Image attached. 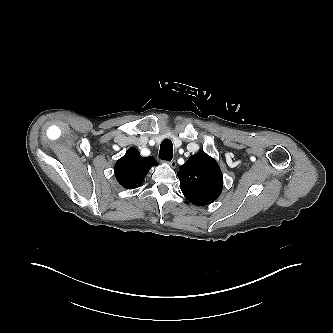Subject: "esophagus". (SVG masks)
Listing matches in <instances>:
<instances>
[{"label":"esophagus","instance_id":"34e87169","mask_svg":"<svg viewBox=\"0 0 333 333\" xmlns=\"http://www.w3.org/2000/svg\"><path fill=\"white\" fill-rule=\"evenodd\" d=\"M168 164H169L172 168H175V167H176V161H175V160L168 161Z\"/></svg>","mask_w":333,"mask_h":333}]
</instances>
